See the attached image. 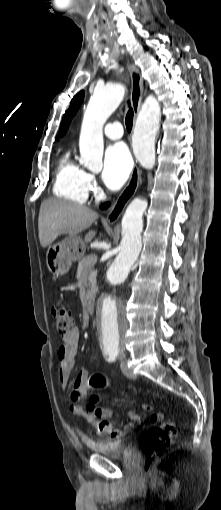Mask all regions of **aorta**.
Masks as SVG:
<instances>
[{"instance_id": "obj_1", "label": "aorta", "mask_w": 221, "mask_h": 510, "mask_svg": "<svg viewBox=\"0 0 221 510\" xmlns=\"http://www.w3.org/2000/svg\"><path fill=\"white\" fill-rule=\"evenodd\" d=\"M122 84L97 87L85 110L79 138L80 162L92 171L101 169L103 157V125L124 98ZM161 109L153 95L144 101L138 114L132 137L133 151L141 166L152 169L155 164V136L159 128ZM145 199L135 198L122 218L120 252L108 267L106 288L96 302V322L101 346L118 350L123 346L127 320L122 303L111 288L122 284L136 262L141 248L142 216L147 209Z\"/></svg>"}]
</instances>
